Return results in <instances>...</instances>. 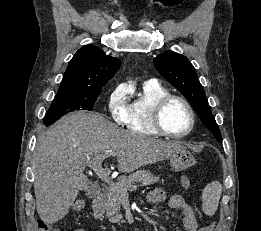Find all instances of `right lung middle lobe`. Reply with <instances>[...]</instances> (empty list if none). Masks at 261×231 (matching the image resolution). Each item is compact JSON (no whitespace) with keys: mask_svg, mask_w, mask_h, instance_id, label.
I'll list each match as a JSON object with an SVG mask.
<instances>
[{"mask_svg":"<svg viewBox=\"0 0 261 231\" xmlns=\"http://www.w3.org/2000/svg\"><path fill=\"white\" fill-rule=\"evenodd\" d=\"M100 91H58L44 118V124L49 126L66 113L75 110L92 111Z\"/></svg>","mask_w":261,"mask_h":231,"instance_id":"dd1d6c3e","label":"right lung middle lobe"}]
</instances>
